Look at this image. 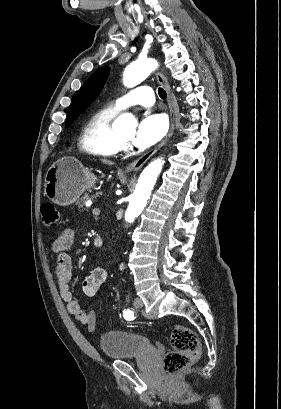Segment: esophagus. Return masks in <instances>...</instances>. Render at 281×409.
<instances>
[{
  "mask_svg": "<svg viewBox=\"0 0 281 409\" xmlns=\"http://www.w3.org/2000/svg\"><path fill=\"white\" fill-rule=\"evenodd\" d=\"M156 77H157L158 82L168 92L167 102H168V107H169V112H170V128H169V131H168L166 137L164 138V140H162V142H160V144H158L157 147H155L152 150H149L144 155H142V157H139V159L134 160V162H131V164H128V166L125 169L127 172L140 170L143 167V165H145V163L150 159V157H152V155H154L155 152L160 150L161 147H163V145H165L168 142V140L170 139V137L172 136V134L174 132L175 115H174V108H173L172 99H171V95H170V85L168 83L167 78L160 71L156 72Z\"/></svg>",
  "mask_w": 281,
  "mask_h": 409,
  "instance_id": "34e87169",
  "label": "esophagus"
}]
</instances>
